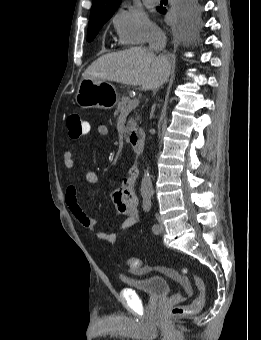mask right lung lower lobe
Returning a JSON list of instances; mask_svg holds the SVG:
<instances>
[{"mask_svg":"<svg viewBox=\"0 0 261 340\" xmlns=\"http://www.w3.org/2000/svg\"><path fill=\"white\" fill-rule=\"evenodd\" d=\"M182 1V0H181ZM198 1V0H197ZM198 4H199V1H198ZM200 5V4H199ZM201 8V7H200ZM159 12L161 13H164L165 12V9L164 8H161V9H158Z\"/></svg>","mask_w":261,"mask_h":340,"instance_id":"obj_1","label":"right lung lower lobe"}]
</instances>
